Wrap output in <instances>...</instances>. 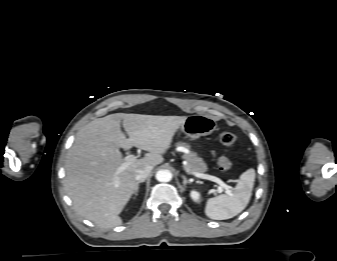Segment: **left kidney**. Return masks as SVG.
I'll use <instances>...</instances> for the list:
<instances>
[{
  "mask_svg": "<svg viewBox=\"0 0 337 261\" xmlns=\"http://www.w3.org/2000/svg\"><path fill=\"white\" fill-rule=\"evenodd\" d=\"M190 196L195 202H200V194L197 191H191Z\"/></svg>",
  "mask_w": 337,
  "mask_h": 261,
  "instance_id": "left-kidney-1",
  "label": "left kidney"
}]
</instances>
